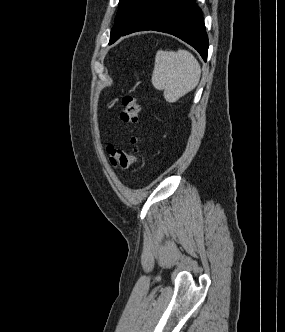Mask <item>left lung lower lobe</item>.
I'll use <instances>...</instances> for the list:
<instances>
[{
  "mask_svg": "<svg viewBox=\"0 0 285 332\" xmlns=\"http://www.w3.org/2000/svg\"><path fill=\"white\" fill-rule=\"evenodd\" d=\"M155 30L177 36L207 59L208 37L195 0H152L136 19L113 41L137 31Z\"/></svg>",
  "mask_w": 285,
  "mask_h": 332,
  "instance_id": "1",
  "label": "left lung lower lobe"
}]
</instances>
